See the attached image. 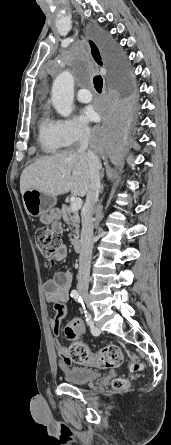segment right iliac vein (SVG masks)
Returning a JSON list of instances; mask_svg holds the SVG:
<instances>
[{"label": "right iliac vein", "instance_id": "63e3f726", "mask_svg": "<svg viewBox=\"0 0 171 445\" xmlns=\"http://www.w3.org/2000/svg\"><path fill=\"white\" fill-rule=\"evenodd\" d=\"M81 296H82L84 302H85L86 304H89V302H90V297H89L88 293L85 292V291H82V292H81Z\"/></svg>", "mask_w": 171, "mask_h": 445}]
</instances>
